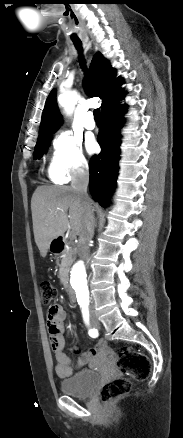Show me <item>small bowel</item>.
Listing matches in <instances>:
<instances>
[{"label": "small bowel", "instance_id": "obj_1", "mask_svg": "<svg viewBox=\"0 0 183 438\" xmlns=\"http://www.w3.org/2000/svg\"><path fill=\"white\" fill-rule=\"evenodd\" d=\"M66 313L59 305H53L47 312V329L50 339V345L56 359L55 372L60 378L70 377L76 367H81L94 358L97 353L104 347L103 344H98L95 347L82 353L74 365L71 359L64 353V328H65Z\"/></svg>", "mask_w": 183, "mask_h": 438}]
</instances>
